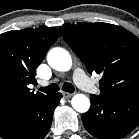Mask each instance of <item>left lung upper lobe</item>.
<instances>
[{
    "label": "left lung upper lobe",
    "mask_w": 139,
    "mask_h": 139,
    "mask_svg": "<svg viewBox=\"0 0 139 139\" xmlns=\"http://www.w3.org/2000/svg\"><path fill=\"white\" fill-rule=\"evenodd\" d=\"M64 40L89 73L101 74V99L109 101L139 93V39L109 23H88L60 28Z\"/></svg>",
    "instance_id": "1"
}]
</instances>
